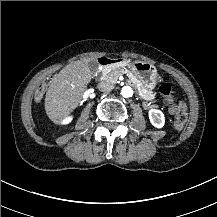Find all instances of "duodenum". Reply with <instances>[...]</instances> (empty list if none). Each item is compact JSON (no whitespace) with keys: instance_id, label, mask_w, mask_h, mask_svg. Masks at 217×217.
<instances>
[{"instance_id":"1","label":"duodenum","mask_w":217,"mask_h":217,"mask_svg":"<svg viewBox=\"0 0 217 217\" xmlns=\"http://www.w3.org/2000/svg\"><path fill=\"white\" fill-rule=\"evenodd\" d=\"M119 60L107 57H101L98 59V64L102 67H112L119 64Z\"/></svg>"}]
</instances>
